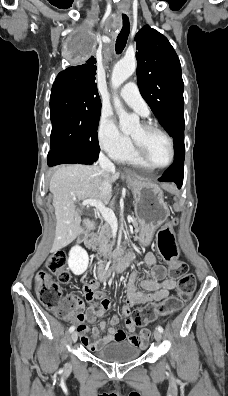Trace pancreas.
Instances as JSON below:
<instances>
[{
	"label": "pancreas",
	"mask_w": 228,
	"mask_h": 396,
	"mask_svg": "<svg viewBox=\"0 0 228 396\" xmlns=\"http://www.w3.org/2000/svg\"><path fill=\"white\" fill-rule=\"evenodd\" d=\"M130 218H131V220H132V223H133V225H134V227H135V231H136V233H135V240H137L138 238L136 237L137 236V232H139V229H138V224H137V221H136V217L135 216H133V215H130ZM111 237H112V228H111V226H110V224L107 222L103 227H102V229H101V231H100V233H99V236H98V246H99V251L102 253V254H107V253H111V251H112V242H111Z\"/></svg>",
	"instance_id": "pancreas-1"
}]
</instances>
